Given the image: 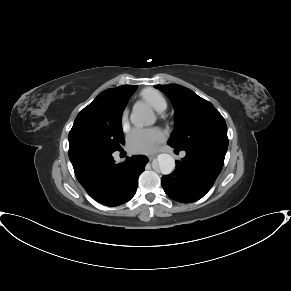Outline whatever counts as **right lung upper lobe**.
I'll list each match as a JSON object with an SVG mask.
<instances>
[{"label": "right lung upper lobe", "instance_id": "obj_1", "mask_svg": "<svg viewBox=\"0 0 291 291\" xmlns=\"http://www.w3.org/2000/svg\"><path fill=\"white\" fill-rule=\"evenodd\" d=\"M136 85H125V86H119L117 88H110V89H107L105 91H103L102 93H100L99 95L102 96V95H106V94H109V93H123V94H129L131 92H133L136 87Z\"/></svg>", "mask_w": 291, "mask_h": 291}]
</instances>
